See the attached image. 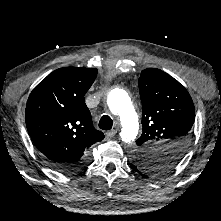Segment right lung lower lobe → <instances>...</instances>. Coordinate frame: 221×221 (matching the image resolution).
<instances>
[{"label":"right lung lower lobe","mask_w":221,"mask_h":221,"mask_svg":"<svg viewBox=\"0 0 221 221\" xmlns=\"http://www.w3.org/2000/svg\"><path fill=\"white\" fill-rule=\"evenodd\" d=\"M89 161H90L89 156H86L85 158L81 159L80 161L72 162V163H69V162L55 163V162H49V161H47V162L54 169H56L60 172L69 173V172H73V171L84 168L85 166H87Z\"/></svg>","instance_id":"obj_1"}]
</instances>
